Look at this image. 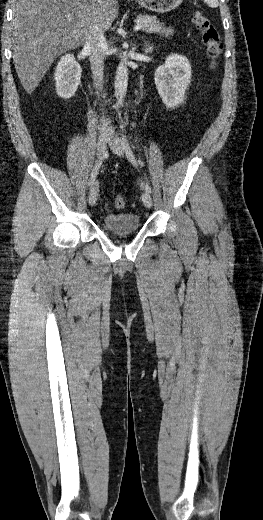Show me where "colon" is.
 Returning a JSON list of instances; mask_svg holds the SVG:
<instances>
[{
    "mask_svg": "<svg viewBox=\"0 0 263 520\" xmlns=\"http://www.w3.org/2000/svg\"><path fill=\"white\" fill-rule=\"evenodd\" d=\"M192 24L201 32L206 57L209 59L211 66L215 67L222 53V44L216 27L210 19L201 12H195L193 14ZM125 205V197L123 195H117L115 198L116 208L122 209Z\"/></svg>",
    "mask_w": 263,
    "mask_h": 520,
    "instance_id": "colon-1",
    "label": "colon"
}]
</instances>
